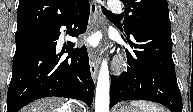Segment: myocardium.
Masks as SVG:
<instances>
[{"instance_id":"myocardium-1","label":"myocardium","mask_w":193,"mask_h":112,"mask_svg":"<svg viewBox=\"0 0 193 112\" xmlns=\"http://www.w3.org/2000/svg\"><path fill=\"white\" fill-rule=\"evenodd\" d=\"M124 66V59L122 57H119L115 62V68L116 70H121Z\"/></svg>"}]
</instances>
